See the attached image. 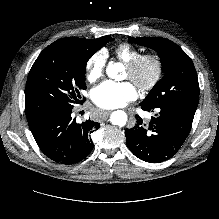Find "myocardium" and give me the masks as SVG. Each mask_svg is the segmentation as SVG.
<instances>
[{
    "mask_svg": "<svg viewBox=\"0 0 219 219\" xmlns=\"http://www.w3.org/2000/svg\"><path fill=\"white\" fill-rule=\"evenodd\" d=\"M147 63L153 67L151 78L146 82H141L137 78L139 70ZM128 71L129 79L142 91L148 92L153 90L160 82L164 73V64L162 59L155 53H143L137 56L131 62L125 64Z\"/></svg>",
    "mask_w": 219,
    "mask_h": 219,
    "instance_id": "obj_1",
    "label": "myocardium"
}]
</instances>
